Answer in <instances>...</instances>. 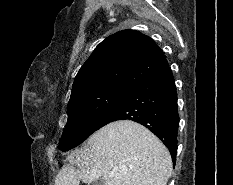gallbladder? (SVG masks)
Listing matches in <instances>:
<instances>
[{
    "instance_id": "obj_1",
    "label": "gallbladder",
    "mask_w": 233,
    "mask_h": 185,
    "mask_svg": "<svg viewBox=\"0 0 233 185\" xmlns=\"http://www.w3.org/2000/svg\"><path fill=\"white\" fill-rule=\"evenodd\" d=\"M91 185H104V181H103V179L100 178V179L92 182Z\"/></svg>"
}]
</instances>
